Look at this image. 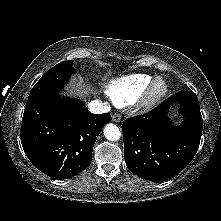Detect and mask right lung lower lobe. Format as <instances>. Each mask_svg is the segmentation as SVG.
I'll list each match as a JSON object with an SVG mask.
<instances>
[{
    "instance_id": "1",
    "label": "right lung lower lobe",
    "mask_w": 221,
    "mask_h": 221,
    "mask_svg": "<svg viewBox=\"0 0 221 221\" xmlns=\"http://www.w3.org/2000/svg\"><path fill=\"white\" fill-rule=\"evenodd\" d=\"M110 114H93L76 99H60L59 90L27 100L20 139L31 163L59 179L73 177L92 160L94 143Z\"/></svg>"
}]
</instances>
